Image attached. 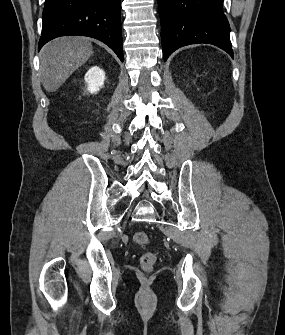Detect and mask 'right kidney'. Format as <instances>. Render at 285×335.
Instances as JSON below:
<instances>
[{
    "label": "right kidney",
    "mask_w": 285,
    "mask_h": 335,
    "mask_svg": "<svg viewBox=\"0 0 285 335\" xmlns=\"http://www.w3.org/2000/svg\"><path fill=\"white\" fill-rule=\"evenodd\" d=\"M84 80L88 84V92H90V94H96L104 84L105 72L100 70L98 66H94V68H90L87 74H85Z\"/></svg>",
    "instance_id": "right-kidney-1"
}]
</instances>
